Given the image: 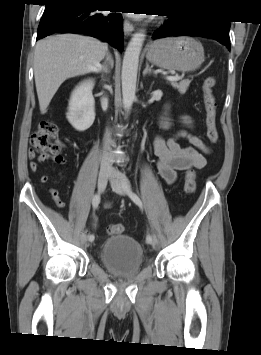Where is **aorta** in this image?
Listing matches in <instances>:
<instances>
[{
	"mask_svg": "<svg viewBox=\"0 0 261 355\" xmlns=\"http://www.w3.org/2000/svg\"><path fill=\"white\" fill-rule=\"evenodd\" d=\"M145 39V31L135 33L126 48L122 64V97L126 109H130L136 93L139 56Z\"/></svg>",
	"mask_w": 261,
	"mask_h": 355,
	"instance_id": "obj_1",
	"label": "aorta"
}]
</instances>
